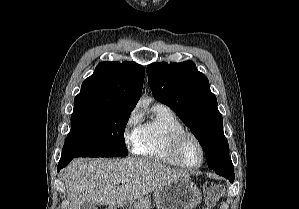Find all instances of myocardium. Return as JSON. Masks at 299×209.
I'll return each mask as SVG.
<instances>
[{
    "label": "myocardium",
    "instance_id": "obj_1",
    "mask_svg": "<svg viewBox=\"0 0 299 209\" xmlns=\"http://www.w3.org/2000/svg\"><path fill=\"white\" fill-rule=\"evenodd\" d=\"M186 138L194 139L201 149V161L197 166H188L181 160V147ZM170 155L175 165L181 169L192 171L202 167L206 159V149L201 139L194 133L189 131H182L175 134L170 141Z\"/></svg>",
    "mask_w": 299,
    "mask_h": 209
}]
</instances>
